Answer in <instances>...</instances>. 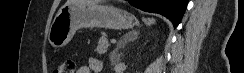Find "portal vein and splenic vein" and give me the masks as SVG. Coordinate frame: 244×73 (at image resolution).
<instances>
[{"label":"portal vein and splenic vein","mask_w":244,"mask_h":73,"mask_svg":"<svg viewBox=\"0 0 244 73\" xmlns=\"http://www.w3.org/2000/svg\"><path fill=\"white\" fill-rule=\"evenodd\" d=\"M110 42H111L112 44H115V43H116V40H115V39H111Z\"/></svg>","instance_id":"obj_1"}]
</instances>
